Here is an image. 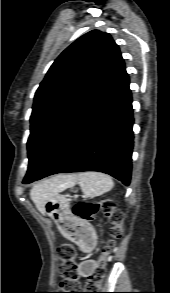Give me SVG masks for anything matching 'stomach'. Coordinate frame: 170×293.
Returning a JSON list of instances; mask_svg holds the SVG:
<instances>
[{
    "label": "stomach",
    "mask_w": 170,
    "mask_h": 293,
    "mask_svg": "<svg viewBox=\"0 0 170 293\" xmlns=\"http://www.w3.org/2000/svg\"><path fill=\"white\" fill-rule=\"evenodd\" d=\"M44 211L48 216L54 219L56 224L60 227H63L61 226L62 224H65L67 221L72 219L69 200L65 195H62L59 192L46 200L44 204ZM84 230L86 233L93 236L92 229L88 225H85ZM64 232L71 240L84 243L78 232L72 233L67 230H64Z\"/></svg>",
    "instance_id": "stomach-1"
}]
</instances>
